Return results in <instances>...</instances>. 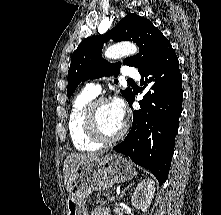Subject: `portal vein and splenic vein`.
<instances>
[{
	"mask_svg": "<svg viewBox=\"0 0 221 215\" xmlns=\"http://www.w3.org/2000/svg\"><path fill=\"white\" fill-rule=\"evenodd\" d=\"M110 200H114V197H110Z\"/></svg>",
	"mask_w": 221,
	"mask_h": 215,
	"instance_id": "obj_1",
	"label": "portal vein and splenic vein"
}]
</instances>
